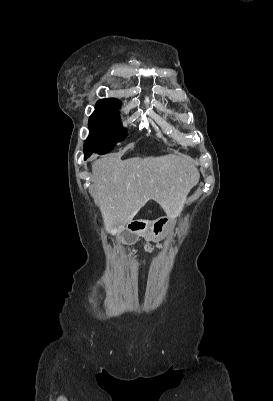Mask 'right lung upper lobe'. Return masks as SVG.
Listing matches in <instances>:
<instances>
[{
    "label": "right lung upper lobe",
    "mask_w": 273,
    "mask_h": 401,
    "mask_svg": "<svg viewBox=\"0 0 273 401\" xmlns=\"http://www.w3.org/2000/svg\"><path fill=\"white\" fill-rule=\"evenodd\" d=\"M97 104L120 107L119 100H117L115 98H107V99L99 100L97 102Z\"/></svg>",
    "instance_id": "right-lung-upper-lobe-1"
}]
</instances>
